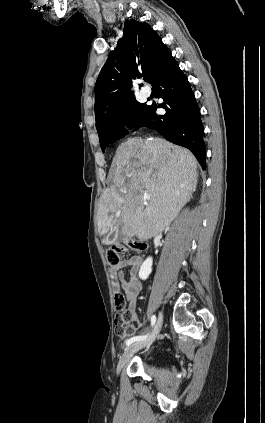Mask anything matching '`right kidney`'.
<instances>
[{
    "label": "right kidney",
    "instance_id": "ca27d5eb",
    "mask_svg": "<svg viewBox=\"0 0 265 423\" xmlns=\"http://www.w3.org/2000/svg\"><path fill=\"white\" fill-rule=\"evenodd\" d=\"M152 257H148L140 267L139 277L142 280H146L152 272Z\"/></svg>",
    "mask_w": 265,
    "mask_h": 423
}]
</instances>
